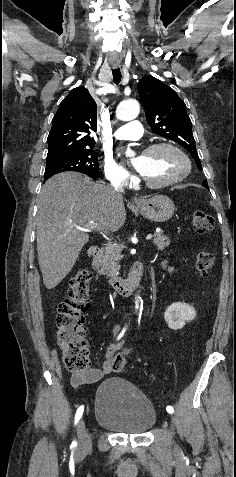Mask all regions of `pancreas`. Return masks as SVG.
<instances>
[{
	"label": "pancreas",
	"instance_id": "1",
	"mask_svg": "<svg viewBox=\"0 0 236 477\" xmlns=\"http://www.w3.org/2000/svg\"><path fill=\"white\" fill-rule=\"evenodd\" d=\"M153 244L158 250H164L169 246L170 241L162 232H155L153 235ZM121 248L117 244H107L100 252L96 268L98 272L110 278H116L119 275V260L121 259Z\"/></svg>",
	"mask_w": 236,
	"mask_h": 477
}]
</instances>
